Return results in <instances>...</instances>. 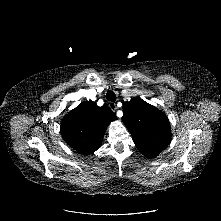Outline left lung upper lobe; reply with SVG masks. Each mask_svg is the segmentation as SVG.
<instances>
[{"instance_id": "1", "label": "left lung upper lobe", "mask_w": 221, "mask_h": 221, "mask_svg": "<svg viewBox=\"0 0 221 221\" xmlns=\"http://www.w3.org/2000/svg\"><path fill=\"white\" fill-rule=\"evenodd\" d=\"M122 120L138 150L146 157L154 158L168 146L171 129L167 116L141 98L124 103Z\"/></svg>"}]
</instances>
